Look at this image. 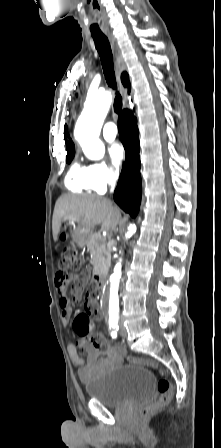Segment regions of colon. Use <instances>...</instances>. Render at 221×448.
<instances>
[{"mask_svg":"<svg viewBox=\"0 0 221 448\" xmlns=\"http://www.w3.org/2000/svg\"><path fill=\"white\" fill-rule=\"evenodd\" d=\"M79 268V261L74 249L70 247L64 248L60 260L58 262V271L56 274L57 286L59 289H64L70 284L71 275L74 270ZM86 300L89 303L94 304V286L91 285L88 289ZM91 324L87 326V330H90ZM127 362L139 366H147L157 371L160 374V378L157 381V390L159 392V398L157 401L146 405L140 411V419L146 420L152 416L161 406L167 404L171 398V383L164 376L163 371L158 367L157 363L153 360H144L136 357H127Z\"/></svg>","mask_w":221,"mask_h":448,"instance_id":"obj_1","label":"colon"}]
</instances>
